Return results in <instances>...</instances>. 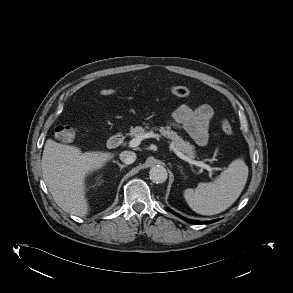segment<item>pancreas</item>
Returning a JSON list of instances; mask_svg holds the SVG:
<instances>
[{"label":"pancreas","instance_id":"pancreas-1","mask_svg":"<svg viewBox=\"0 0 293 293\" xmlns=\"http://www.w3.org/2000/svg\"><path fill=\"white\" fill-rule=\"evenodd\" d=\"M148 128H149L148 126H146L145 128H143L142 126H136L134 128L131 127L129 135L132 137L133 136L137 137L140 135H144L146 133H150L146 131V129ZM152 129L159 131L162 136L170 139L172 144L175 146V148H177L180 152L186 154L190 158L195 157L194 146L191 145L189 142L184 141L183 138L179 136L175 131L170 130L168 127H159V128L154 127Z\"/></svg>","mask_w":293,"mask_h":293}]
</instances>
